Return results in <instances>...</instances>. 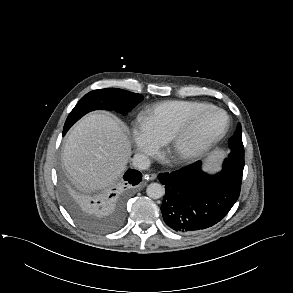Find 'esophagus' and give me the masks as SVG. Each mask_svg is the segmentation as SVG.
<instances>
[{
    "label": "esophagus",
    "mask_w": 293,
    "mask_h": 293,
    "mask_svg": "<svg viewBox=\"0 0 293 293\" xmlns=\"http://www.w3.org/2000/svg\"><path fill=\"white\" fill-rule=\"evenodd\" d=\"M145 179L155 180L157 175L155 173H149L144 176Z\"/></svg>",
    "instance_id": "obj_1"
}]
</instances>
